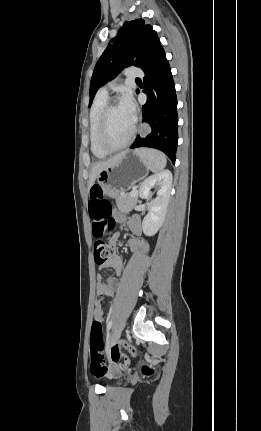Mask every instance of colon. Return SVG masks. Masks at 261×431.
<instances>
[{
    "label": "colon",
    "mask_w": 261,
    "mask_h": 431,
    "mask_svg": "<svg viewBox=\"0 0 261 431\" xmlns=\"http://www.w3.org/2000/svg\"><path fill=\"white\" fill-rule=\"evenodd\" d=\"M88 207L89 215L92 219V231L97 238L94 245V258L96 264H102L114 254L113 248L102 240L114 228V220L111 216V205L104 198L103 191L99 185L92 187ZM135 346L134 343H117L113 345L109 349L107 356L109 364H106L103 355L102 322L94 320L90 340L91 371L94 374V380L104 381L106 378L105 373L110 379H119L121 373L125 372L131 364L130 357L123 356L120 348H128L131 354L136 355ZM143 371L146 374L151 373L148 366H145Z\"/></svg>",
    "instance_id": "1"
}]
</instances>
